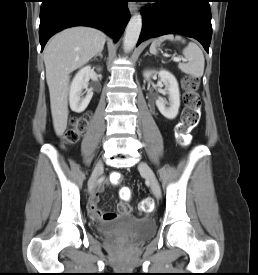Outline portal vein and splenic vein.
<instances>
[{"mask_svg": "<svg viewBox=\"0 0 258 275\" xmlns=\"http://www.w3.org/2000/svg\"><path fill=\"white\" fill-rule=\"evenodd\" d=\"M173 60L177 61V62H179L181 60L186 61L184 58H179V57H176V56L173 57Z\"/></svg>", "mask_w": 258, "mask_h": 275, "instance_id": "1", "label": "portal vein and splenic vein"}]
</instances>
